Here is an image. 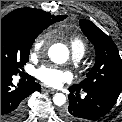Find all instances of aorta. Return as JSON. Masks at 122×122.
<instances>
[{"mask_svg":"<svg viewBox=\"0 0 122 122\" xmlns=\"http://www.w3.org/2000/svg\"><path fill=\"white\" fill-rule=\"evenodd\" d=\"M48 56L54 63L62 64L67 61L69 57V50L64 44H53L48 50ZM53 102L57 106H62L66 102V96L62 93H56L53 96Z\"/></svg>","mask_w":122,"mask_h":122,"instance_id":"1","label":"aorta"}]
</instances>
